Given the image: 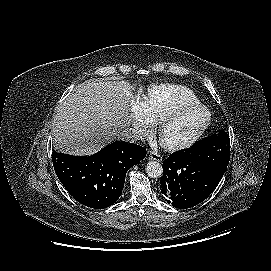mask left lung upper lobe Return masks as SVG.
<instances>
[{"mask_svg":"<svg viewBox=\"0 0 271 271\" xmlns=\"http://www.w3.org/2000/svg\"><path fill=\"white\" fill-rule=\"evenodd\" d=\"M229 144V135L223 131L216 140L212 142L199 140L184 151L192 157L225 172L230 160Z\"/></svg>","mask_w":271,"mask_h":271,"instance_id":"left-lung-upper-lobe-1","label":"left lung upper lobe"}]
</instances>
